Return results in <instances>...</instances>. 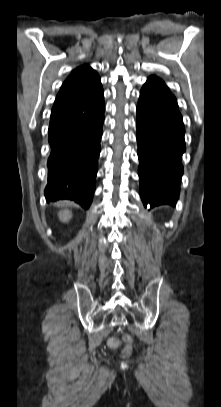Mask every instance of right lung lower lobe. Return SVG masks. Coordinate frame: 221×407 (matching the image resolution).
<instances>
[{
  "label": "right lung lower lobe",
  "instance_id": "obj_1",
  "mask_svg": "<svg viewBox=\"0 0 221 407\" xmlns=\"http://www.w3.org/2000/svg\"><path fill=\"white\" fill-rule=\"evenodd\" d=\"M104 109L102 86L54 104L48 137L51 153L47 201L68 199L89 208L95 190Z\"/></svg>",
  "mask_w": 221,
  "mask_h": 407
}]
</instances>
